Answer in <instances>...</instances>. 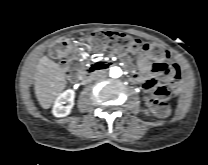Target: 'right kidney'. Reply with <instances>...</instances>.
<instances>
[{"label":"right kidney","mask_w":208,"mask_h":165,"mask_svg":"<svg viewBox=\"0 0 208 165\" xmlns=\"http://www.w3.org/2000/svg\"><path fill=\"white\" fill-rule=\"evenodd\" d=\"M75 92L68 89L61 93L55 100L52 113L55 117H65L69 115L74 106Z\"/></svg>","instance_id":"right-kidney-1"}]
</instances>
